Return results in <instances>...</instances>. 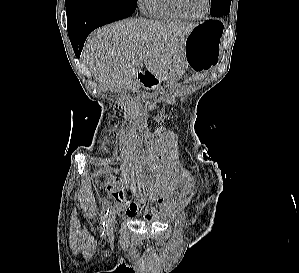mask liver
I'll use <instances>...</instances> for the list:
<instances>
[{
  "mask_svg": "<svg viewBox=\"0 0 299 273\" xmlns=\"http://www.w3.org/2000/svg\"><path fill=\"white\" fill-rule=\"evenodd\" d=\"M198 23L125 19L97 29L87 39L82 58L94 78L115 91L138 87L143 60L158 78L184 73L185 41Z\"/></svg>",
  "mask_w": 299,
  "mask_h": 273,
  "instance_id": "1",
  "label": "liver"
}]
</instances>
